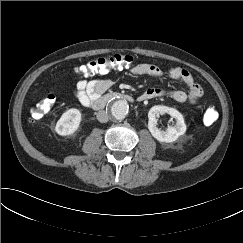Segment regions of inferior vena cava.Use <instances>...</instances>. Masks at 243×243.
Here are the masks:
<instances>
[{"label": "inferior vena cava", "mask_w": 243, "mask_h": 243, "mask_svg": "<svg viewBox=\"0 0 243 243\" xmlns=\"http://www.w3.org/2000/svg\"><path fill=\"white\" fill-rule=\"evenodd\" d=\"M108 114L104 110H100L97 113V120L101 123H106L108 121Z\"/></svg>", "instance_id": "obj_1"}]
</instances>
